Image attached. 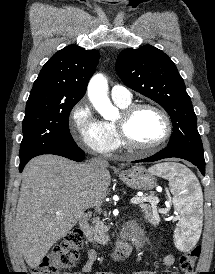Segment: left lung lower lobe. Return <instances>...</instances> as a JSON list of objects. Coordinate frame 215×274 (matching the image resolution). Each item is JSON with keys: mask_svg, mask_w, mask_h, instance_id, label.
I'll use <instances>...</instances> for the list:
<instances>
[{"mask_svg": "<svg viewBox=\"0 0 215 274\" xmlns=\"http://www.w3.org/2000/svg\"><path fill=\"white\" fill-rule=\"evenodd\" d=\"M177 157L185 159L199 168L202 175H205V160L204 152L199 150H193L188 148H177L167 146L155 155L146 159L134 161L137 162H153L164 158Z\"/></svg>", "mask_w": 215, "mask_h": 274, "instance_id": "left-lung-lower-lobe-1", "label": "left lung lower lobe"}]
</instances>
